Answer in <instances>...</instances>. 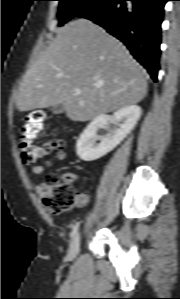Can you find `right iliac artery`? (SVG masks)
Here are the masks:
<instances>
[{"instance_id": "1", "label": "right iliac artery", "mask_w": 180, "mask_h": 299, "mask_svg": "<svg viewBox=\"0 0 180 299\" xmlns=\"http://www.w3.org/2000/svg\"><path fill=\"white\" fill-rule=\"evenodd\" d=\"M78 226H79V222H77V223L73 226L72 231H71V237H74L75 234L77 233Z\"/></svg>"}]
</instances>
